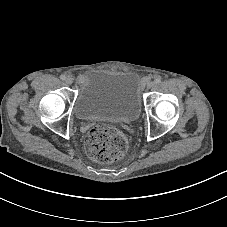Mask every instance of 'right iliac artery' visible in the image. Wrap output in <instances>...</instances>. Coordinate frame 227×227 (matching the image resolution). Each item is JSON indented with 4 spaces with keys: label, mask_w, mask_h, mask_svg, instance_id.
<instances>
[{
    "label": "right iliac artery",
    "mask_w": 227,
    "mask_h": 227,
    "mask_svg": "<svg viewBox=\"0 0 227 227\" xmlns=\"http://www.w3.org/2000/svg\"><path fill=\"white\" fill-rule=\"evenodd\" d=\"M60 79H61V80H65V79H66V76H65V75H61V76H60Z\"/></svg>",
    "instance_id": "82829eb1"
}]
</instances>
